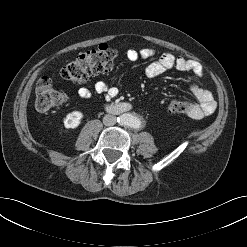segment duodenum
Returning a JSON list of instances; mask_svg holds the SVG:
<instances>
[{
  "mask_svg": "<svg viewBox=\"0 0 247 247\" xmlns=\"http://www.w3.org/2000/svg\"><path fill=\"white\" fill-rule=\"evenodd\" d=\"M132 108H133L132 104L128 102H122V103L110 105L109 110L114 114H122L131 111Z\"/></svg>",
  "mask_w": 247,
  "mask_h": 247,
  "instance_id": "1",
  "label": "duodenum"
}]
</instances>
